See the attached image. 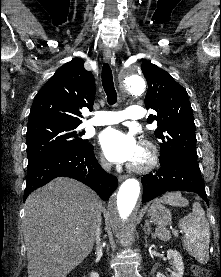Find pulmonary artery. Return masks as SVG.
Here are the masks:
<instances>
[{
  "label": "pulmonary artery",
  "mask_w": 221,
  "mask_h": 277,
  "mask_svg": "<svg viewBox=\"0 0 221 277\" xmlns=\"http://www.w3.org/2000/svg\"><path fill=\"white\" fill-rule=\"evenodd\" d=\"M144 114L142 106L130 105L124 111H98L88 123L96 126L117 124L124 120H140Z\"/></svg>",
  "instance_id": "1"
}]
</instances>
